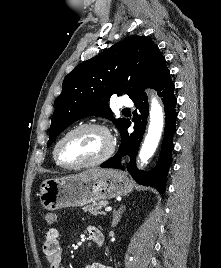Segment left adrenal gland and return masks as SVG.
Segmentation results:
<instances>
[{
    "mask_svg": "<svg viewBox=\"0 0 221 268\" xmlns=\"http://www.w3.org/2000/svg\"><path fill=\"white\" fill-rule=\"evenodd\" d=\"M125 209H126V206L121 205L118 208V210L116 209L113 210V218H112V224H111L112 227H115L118 224Z\"/></svg>",
    "mask_w": 221,
    "mask_h": 268,
    "instance_id": "a2214340",
    "label": "left adrenal gland"
}]
</instances>
